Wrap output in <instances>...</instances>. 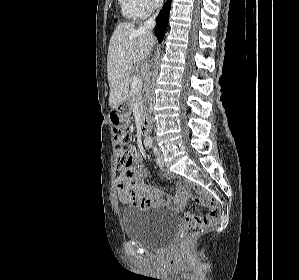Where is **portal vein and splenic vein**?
I'll use <instances>...</instances> for the list:
<instances>
[{
	"instance_id": "portal-vein-and-splenic-vein-1",
	"label": "portal vein and splenic vein",
	"mask_w": 299,
	"mask_h": 280,
	"mask_svg": "<svg viewBox=\"0 0 299 280\" xmlns=\"http://www.w3.org/2000/svg\"><path fill=\"white\" fill-rule=\"evenodd\" d=\"M142 82L141 79L137 76H133L132 83H131V89L135 92L141 88Z\"/></svg>"
}]
</instances>
